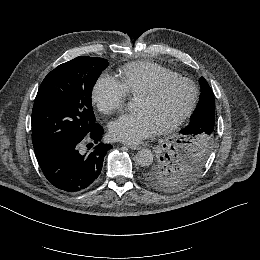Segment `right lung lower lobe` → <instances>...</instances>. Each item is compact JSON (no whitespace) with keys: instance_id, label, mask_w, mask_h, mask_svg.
I'll list each match as a JSON object with an SVG mask.
<instances>
[{"instance_id":"obj_1","label":"right lung lower lobe","mask_w":260,"mask_h":260,"mask_svg":"<svg viewBox=\"0 0 260 260\" xmlns=\"http://www.w3.org/2000/svg\"><path fill=\"white\" fill-rule=\"evenodd\" d=\"M102 135V127L96 124L85 140L97 145L94 144L85 154L84 141L65 144L36 154L46 179L65 192H78L89 187L99 177L104 156L112 148L110 144L100 142ZM92 146V143L87 145L88 149Z\"/></svg>"}]
</instances>
